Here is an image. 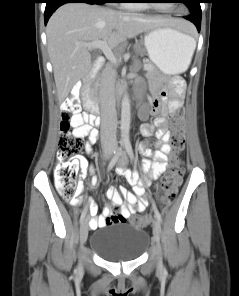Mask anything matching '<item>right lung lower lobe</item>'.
<instances>
[{
    "instance_id": "98d812e1",
    "label": "right lung lower lobe",
    "mask_w": 239,
    "mask_h": 296,
    "mask_svg": "<svg viewBox=\"0 0 239 296\" xmlns=\"http://www.w3.org/2000/svg\"><path fill=\"white\" fill-rule=\"evenodd\" d=\"M65 3H89L96 4V2L92 0H46V9L44 13L45 24L47 23L49 17L52 13L61 5Z\"/></svg>"
}]
</instances>
